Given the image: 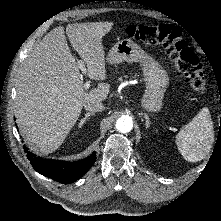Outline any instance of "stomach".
I'll list each match as a JSON object with an SVG mask.
<instances>
[{
  "instance_id": "obj_1",
  "label": "stomach",
  "mask_w": 221,
  "mask_h": 221,
  "mask_svg": "<svg viewBox=\"0 0 221 221\" xmlns=\"http://www.w3.org/2000/svg\"><path fill=\"white\" fill-rule=\"evenodd\" d=\"M106 60L110 64L140 62L146 87L141 105L147 112L161 110L164 94L169 85V77L165 69L154 58L133 40L124 39L111 48Z\"/></svg>"
}]
</instances>
